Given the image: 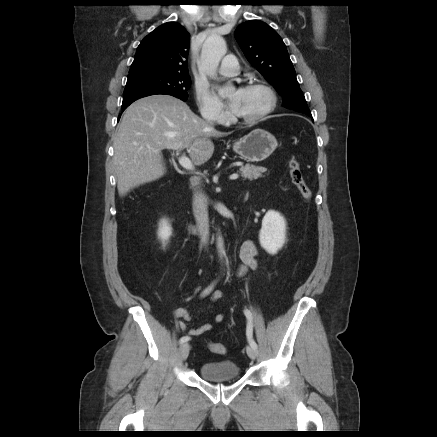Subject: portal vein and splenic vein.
Returning <instances> with one entry per match:
<instances>
[{"instance_id": "portal-vein-and-splenic-vein-1", "label": "portal vein and splenic vein", "mask_w": 437, "mask_h": 437, "mask_svg": "<svg viewBox=\"0 0 437 437\" xmlns=\"http://www.w3.org/2000/svg\"><path fill=\"white\" fill-rule=\"evenodd\" d=\"M179 164L185 168L186 170H194V166L192 164V162L190 161V159L188 157L185 156V154H183L180 158H179ZM239 177L238 174H232L230 176L231 180H235Z\"/></svg>"}]
</instances>
